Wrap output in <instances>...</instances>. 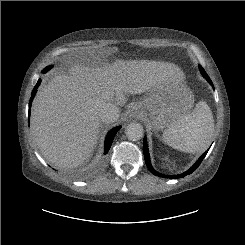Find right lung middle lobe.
<instances>
[{"label": "right lung middle lobe", "instance_id": "obj_1", "mask_svg": "<svg viewBox=\"0 0 245 245\" xmlns=\"http://www.w3.org/2000/svg\"><path fill=\"white\" fill-rule=\"evenodd\" d=\"M51 68V66H48L47 68H45L46 70H49Z\"/></svg>", "mask_w": 245, "mask_h": 245}]
</instances>
